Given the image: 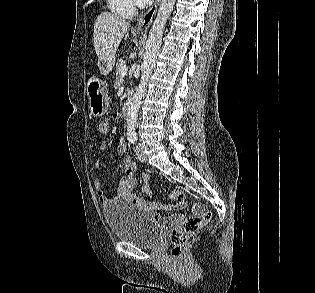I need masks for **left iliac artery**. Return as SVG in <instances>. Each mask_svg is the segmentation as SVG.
Here are the masks:
<instances>
[{
	"label": "left iliac artery",
	"mask_w": 315,
	"mask_h": 293,
	"mask_svg": "<svg viewBox=\"0 0 315 293\" xmlns=\"http://www.w3.org/2000/svg\"><path fill=\"white\" fill-rule=\"evenodd\" d=\"M137 133L134 131H131L128 133V140L132 143L135 144L137 142Z\"/></svg>",
	"instance_id": "left-iliac-artery-1"
}]
</instances>
